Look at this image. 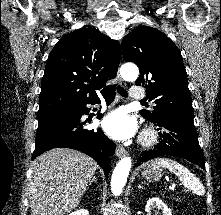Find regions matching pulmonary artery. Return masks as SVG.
<instances>
[{
  "instance_id": "1",
  "label": "pulmonary artery",
  "mask_w": 221,
  "mask_h": 215,
  "mask_svg": "<svg viewBox=\"0 0 221 215\" xmlns=\"http://www.w3.org/2000/svg\"><path fill=\"white\" fill-rule=\"evenodd\" d=\"M130 97L133 99H142L144 97V92L139 87H132L130 90Z\"/></svg>"
}]
</instances>
